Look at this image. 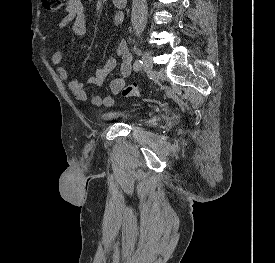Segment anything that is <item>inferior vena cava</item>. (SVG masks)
Wrapping results in <instances>:
<instances>
[{
    "label": "inferior vena cava",
    "instance_id": "inferior-vena-cava-1",
    "mask_svg": "<svg viewBox=\"0 0 275 263\" xmlns=\"http://www.w3.org/2000/svg\"><path fill=\"white\" fill-rule=\"evenodd\" d=\"M147 2L146 0H133L132 3V26L137 33H141L146 25Z\"/></svg>",
    "mask_w": 275,
    "mask_h": 263
}]
</instances>
